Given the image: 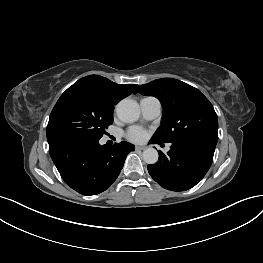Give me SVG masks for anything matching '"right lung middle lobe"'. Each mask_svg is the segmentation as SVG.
Instances as JSON below:
<instances>
[{
  "label": "right lung middle lobe",
  "mask_w": 263,
  "mask_h": 263,
  "mask_svg": "<svg viewBox=\"0 0 263 263\" xmlns=\"http://www.w3.org/2000/svg\"><path fill=\"white\" fill-rule=\"evenodd\" d=\"M113 110L88 94H62L50 114L48 143L70 138L100 139L113 123Z\"/></svg>",
  "instance_id": "right-lung-middle-lobe-1"
}]
</instances>
